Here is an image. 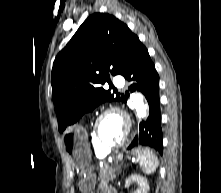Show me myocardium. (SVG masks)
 I'll list each match as a JSON object with an SVG mask.
<instances>
[{
    "instance_id": "myocardium-1",
    "label": "myocardium",
    "mask_w": 221,
    "mask_h": 193,
    "mask_svg": "<svg viewBox=\"0 0 221 193\" xmlns=\"http://www.w3.org/2000/svg\"><path fill=\"white\" fill-rule=\"evenodd\" d=\"M108 113L119 114L124 119V121L126 123V129H125V132H124L121 140L115 144H108V143L104 142L100 138L99 133H98L99 122ZM130 130H131V122H130L128 115L124 111H122L120 108L115 107V106H110V107L103 109L98 114V116L95 118L93 126H92V137L98 146H100L101 148H103L106 151H109V150L121 147L126 142L128 136H129Z\"/></svg>"
}]
</instances>
